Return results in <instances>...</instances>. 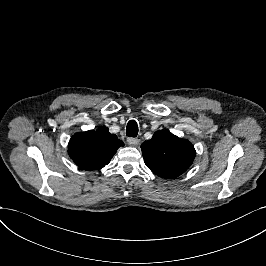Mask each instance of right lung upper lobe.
Returning <instances> with one entry per match:
<instances>
[{
	"label": "right lung upper lobe",
	"instance_id": "right-lung-upper-lobe-1",
	"mask_svg": "<svg viewBox=\"0 0 266 266\" xmlns=\"http://www.w3.org/2000/svg\"><path fill=\"white\" fill-rule=\"evenodd\" d=\"M123 145L115 134L109 133L106 126H101L96 130L74 134L69 142L68 153L81 169L98 170L107 165Z\"/></svg>",
	"mask_w": 266,
	"mask_h": 266
}]
</instances>
